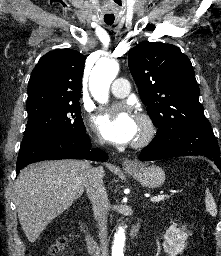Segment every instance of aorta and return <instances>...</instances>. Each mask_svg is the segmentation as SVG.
Segmentation results:
<instances>
[{"label":"aorta","instance_id":"aorta-1","mask_svg":"<svg viewBox=\"0 0 221 256\" xmlns=\"http://www.w3.org/2000/svg\"><path fill=\"white\" fill-rule=\"evenodd\" d=\"M119 72V64L115 60H100L91 71L89 89L96 101L107 103L109 88ZM125 229L119 227L114 235L112 256H124Z\"/></svg>","mask_w":221,"mask_h":256}]
</instances>
